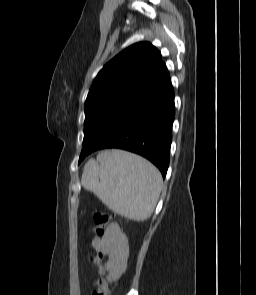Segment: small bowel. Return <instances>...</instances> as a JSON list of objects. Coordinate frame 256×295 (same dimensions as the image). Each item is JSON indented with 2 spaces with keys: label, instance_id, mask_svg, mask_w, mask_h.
<instances>
[{
  "label": "small bowel",
  "instance_id": "obj_1",
  "mask_svg": "<svg viewBox=\"0 0 256 295\" xmlns=\"http://www.w3.org/2000/svg\"><path fill=\"white\" fill-rule=\"evenodd\" d=\"M93 244L95 248L107 255V268L111 278H118L123 273L129 256L128 240L120 226L112 223L101 238L93 239Z\"/></svg>",
  "mask_w": 256,
  "mask_h": 295
}]
</instances>
